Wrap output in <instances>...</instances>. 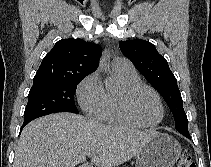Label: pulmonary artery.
<instances>
[{"mask_svg":"<svg viewBox=\"0 0 211 167\" xmlns=\"http://www.w3.org/2000/svg\"><path fill=\"white\" fill-rule=\"evenodd\" d=\"M113 67L116 70L132 71L134 70L133 64L127 58H116L113 62Z\"/></svg>","mask_w":211,"mask_h":167,"instance_id":"1","label":"pulmonary artery"}]
</instances>
